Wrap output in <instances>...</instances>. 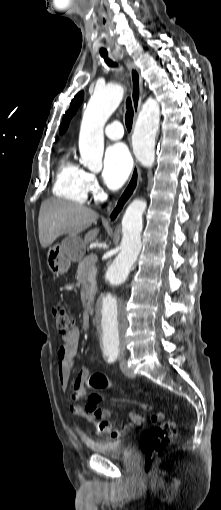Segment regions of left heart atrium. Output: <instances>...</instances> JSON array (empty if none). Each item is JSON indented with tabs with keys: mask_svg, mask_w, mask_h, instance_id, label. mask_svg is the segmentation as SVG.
<instances>
[{
	"mask_svg": "<svg viewBox=\"0 0 221 510\" xmlns=\"http://www.w3.org/2000/svg\"><path fill=\"white\" fill-rule=\"evenodd\" d=\"M132 169L131 155L123 144H114L107 148L103 161V180L112 190L120 188L127 180Z\"/></svg>",
	"mask_w": 221,
	"mask_h": 510,
	"instance_id": "1",
	"label": "left heart atrium"
}]
</instances>
